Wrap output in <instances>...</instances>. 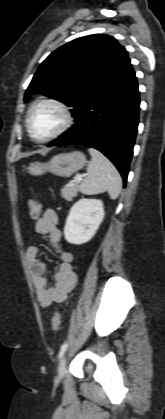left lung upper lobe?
Here are the masks:
<instances>
[{
	"label": "left lung upper lobe",
	"mask_w": 165,
	"mask_h": 419,
	"mask_svg": "<svg viewBox=\"0 0 165 419\" xmlns=\"http://www.w3.org/2000/svg\"><path fill=\"white\" fill-rule=\"evenodd\" d=\"M130 62L126 49L109 35L77 38L53 51L39 66L26 90L27 102L34 92L74 108L82 104Z\"/></svg>",
	"instance_id": "1"
}]
</instances>
